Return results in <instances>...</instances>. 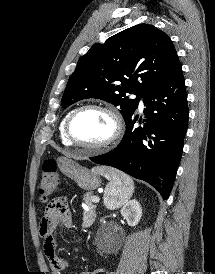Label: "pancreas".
<instances>
[{
	"instance_id": "obj_1",
	"label": "pancreas",
	"mask_w": 215,
	"mask_h": 274,
	"mask_svg": "<svg viewBox=\"0 0 215 274\" xmlns=\"http://www.w3.org/2000/svg\"><path fill=\"white\" fill-rule=\"evenodd\" d=\"M93 197L94 196L91 192L86 193L83 197V201L85 205L88 207V210L84 211L83 213L86 226L91 225L94 222L96 216V205L94 204L95 202L93 201Z\"/></svg>"
}]
</instances>
